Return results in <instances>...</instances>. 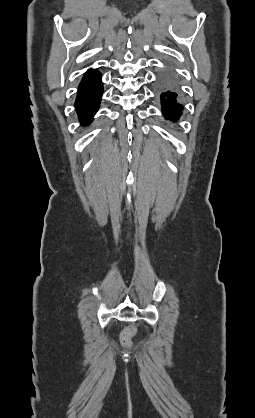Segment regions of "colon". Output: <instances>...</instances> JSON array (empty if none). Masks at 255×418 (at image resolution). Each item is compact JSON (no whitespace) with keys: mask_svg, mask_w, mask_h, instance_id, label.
Instances as JSON below:
<instances>
[{"mask_svg":"<svg viewBox=\"0 0 255 418\" xmlns=\"http://www.w3.org/2000/svg\"><path fill=\"white\" fill-rule=\"evenodd\" d=\"M135 334H136V328L135 327L128 326V327L124 328V330L121 332V335H120L121 344L126 348L131 347Z\"/></svg>","mask_w":255,"mask_h":418,"instance_id":"5ec220e1","label":"colon"}]
</instances>
